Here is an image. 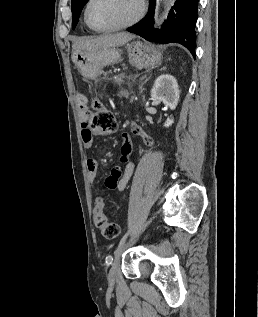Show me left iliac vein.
<instances>
[{
    "label": "left iliac vein",
    "mask_w": 258,
    "mask_h": 317,
    "mask_svg": "<svg viewBox=\"0 0 258 317\" xmlns=\"http://www.w3.org/2000/svg\"><path fill=\"white\" fill-rule=\"evenodd\" d=\"M130 240L128 239L127 241H124V243H122V245H120V247L117 249V253H116V257H115V260H114V265L112 267V271H110L109 273V277L110 278H113L116 276V273H117V268L120 267V263H121V255H122V252L125 251L127 248V246H129L131 243L129 242Z\"/></svg>",
    "instance_id": "obj_1"
}]
</instances>
